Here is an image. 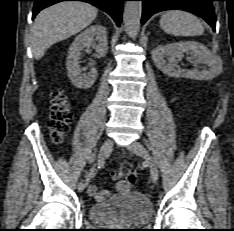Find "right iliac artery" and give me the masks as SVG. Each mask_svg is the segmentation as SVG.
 Returning <instances> with one entry per match:
<instances>
[{
  "label": "right iliac artery",
  "mask_w": 234,
  "mask_h": 231,
  "mask_svg": "<svg viewBox=\"0 0 234 231\" xmlns=\"http://www.w3.org/2000/svg\"><path fill=\"white\" fill-rule=\"evenodd\" d=\"M89 162L90 163H93L94 161H95V159H96V155L95 154H92V155H90L89 156ZM96 168H95V166H93L91 169H90V171H89V173L87 174V176H86V185L90 182V180L95 176V174H96Z\"/></svg>",
  "instance_id": "82829eb1"
}]
</instances>
